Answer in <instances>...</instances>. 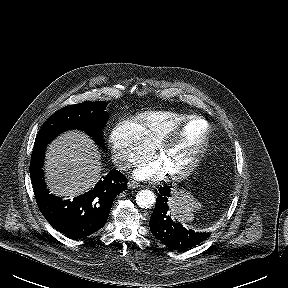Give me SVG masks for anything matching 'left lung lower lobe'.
I'll use <instances>...</instances> for the list:
<instances>
[{
  "instance_id": "0a47b994",
  "label": "left lung lower lobe",
  "mask_w": 288,
  "mask_h": 288,
  "mask_svg": "<svg viewBox=\"0 0 288 288\" xmlns=\"http://www.w3.org/2000/svg\"><path fill=\"white\" fill-rule=\"evenodd\" d=\"M170 188L171 186H166L159 189L156 205L150 218V230L157 239L170 249L187 250L203 242L210 234L187 230L173 220L168 207Z\"/></svg>"
}]
</instances>
